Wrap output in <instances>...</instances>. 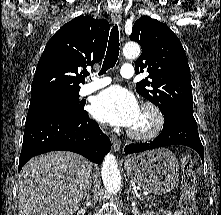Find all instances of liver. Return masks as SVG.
I'll list each match as a JSON object with an SVG mask.
<instances>
[{"instance_id":"6515ba94","label":"liver","mask_w":221,"mask_h":215,"mask_svg":"<svg viewBox=\"0 0 221 215\" xmlns=\"http://www.w3.org/2000/svg\"><path fill=\"white\" fill-rule=\"evenodd\" d=\"M91 173V162L72 152L33 157L19 175L18 215H73Z\"/></svg>"}]
</instances>
